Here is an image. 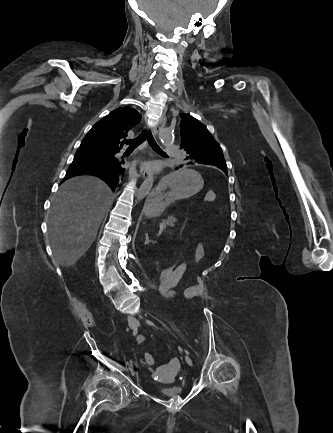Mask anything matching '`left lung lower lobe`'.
I'll list each match as a JSON object with an SVG mask.
<instances>
[{
    "instance_id": "left-lung-lower-lobe-1",
    "label": "left lung lower lobe",
    "mask_w": 333,
    "mask_h": 433,
    "mask_svg": "<svg viewBox=\"0 0 333 433\" xmlns=\"http://www.w3.org/2000/svg\"><path fill=\"white\" fill-rule=\"evenodd\" d=\"M150 208H151V205H150V204H148V205H147V209H146V210H147V212H148V211L150 210Z\"/></svg>"
}]
</instances>
